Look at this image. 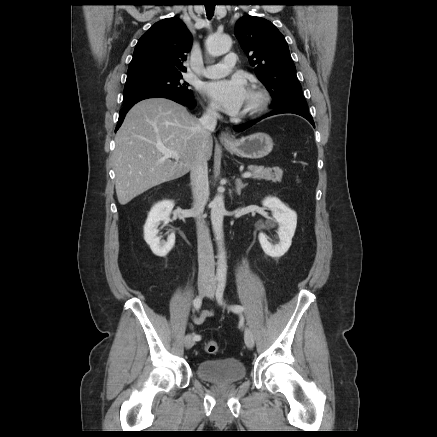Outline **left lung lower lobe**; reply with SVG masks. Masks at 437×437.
<instances>
[{"instance_id":"left-lung-lower-lobe-1","label":"left lung lower lobe","mask_w":437,"mask_h":437,"mask_svg":"<svg viewBox=\"0 0 437 437\" xmlns=\"http://www.w3.org/2000/svg\"><path fill=\"white\" fill-rule=\"evenodd\" d=\"M283 113H293V114L300 115V116L306 118V119H307V120H308V121L313 125V127H315V124H314L313 118H312V116L309 114V112L306 111V110L298 109V108H281V109H277V110H275V111H273V112L267 114V115L264 116L263 118L268 117V116H272V115H276V114H283ZM261 119H262V118H261ZM261 119H259V120H261ZM259 120H258V121H259ZM256 122H257V121H256ZM256 122H253V123H246V124L238 125V126H235L234 129H235L236 131H243V130H245V129L251 127L252 125H254Z\"/></svg>"}]
</instances>
